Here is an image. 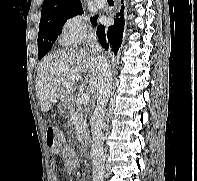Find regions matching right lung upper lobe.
Masks as SVG:
<instances>
[{"label": "right lung upper lobe", "mask_w": 197, "mask_h": 181, "mask_svg": "<svg viewBox=\"0 0 197 181\" xmlns=\"http://www.w3.org/2000/svg\"><path fill=\"white\" fill-rule=\"evenodd\" d=\"M81 8L80 0H44L41 18Z\"/></svg>", "instance_id": "cb5924a9"}]
</instances>
